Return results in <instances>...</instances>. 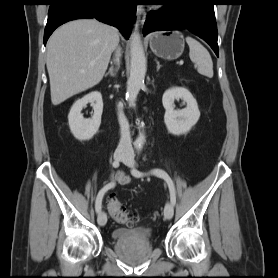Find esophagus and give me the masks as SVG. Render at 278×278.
I'll list each match as a JSON object with an SVG mask.
<instances>
[{
	"label": "esophagus",
	"instance_id": "esophagus-1",
	"mask_svg": "<svg viewBox=\"0 0 278 278\" xmlns=\"http://www.w3.org/2000/svg\"><path fill=\"white\" fill-rule=\"evenodd\" d=\"M137 17L139 20V23L142 25L145 22L146 18V10L143 6H137Z\"/></svg>",
	"mask_w": 278,
	"mask_h": 278
}]
</instances>
